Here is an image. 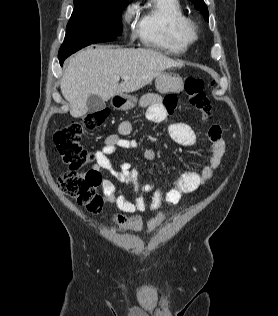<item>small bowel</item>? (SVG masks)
<instances>
[{"label": "small bowel", "mask_w": 278, "mask_h": 316, "mask_svg": "<svg viewBox=\"0 0 278 316\" xmlns=\"http://www.w3.org/2000/svg\"><path fill=\"white\" fill-rule=\"evenodd\" d=\"M139 106L147 108L146 117L152 122H162L167 119L169 114L176 107V99L172 95L162 99L158 94L148 93L141 97ZM202 123H209L208 118L199 117ZM132 122L122 121L118 126V132L106 137L104 146L95 151L94 165L92 170L95 172H105L107 175L102 180V187L108 203L115 205L124 214L116 213L110 216L117 228L140 232L144 227L148 233L153 232L165 220V213L161 210L162 204L176 205L185 194L197 190L200 186L207 183L215 170L220 166L226 155V143L222 137L220 125L212 123L208 129V139L211 143V154L208 163L201 167L199 171L186 170L175 176L172 181V188L163 196L156 184H141L138 181V169L131 166L128 162L121 164L116 169L109 156L121 149H136L138 143L127 138L132 132ZM170 137L178 144L192 146L196 143L197 137L191 126L185 123H172L168 127ZM156 153L152 148L142 150V157L145 160L155 159ZM126 183L132 186L134 191L133 199H128L121 189H118L112 180ZM144 194L151 196L149 204L146 203ZM149 207L157 211V215L144 223L140 213ZM126 214H131L130 216Z\"/></svg>", "instance_id": "1"}]
</instances>
